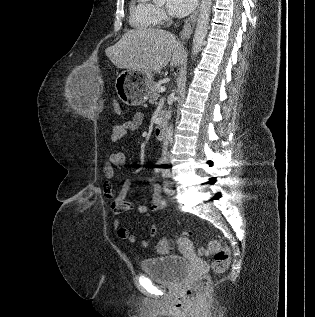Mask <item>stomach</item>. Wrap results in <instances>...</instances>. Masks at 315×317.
Wrapping results in <instances>:
<instances>
[{"mask_svg":"<svg viewBox=\"0 0 315 317\" xmlns=\"http://www.w3.org/2000/svg\"><path fill=\"white\" fill-rule=\"evenodd\" d=\"M153 84L152 73L126 69L117 76L115 89L124 104L139 106L147 101Z\"/></svg>","mask_w":315,"mask_h":317,"instance_id":"obj_1","label":"stomach"}]
</instances>
